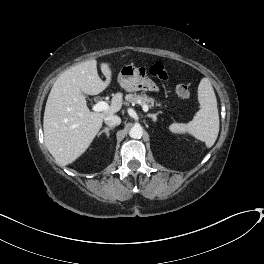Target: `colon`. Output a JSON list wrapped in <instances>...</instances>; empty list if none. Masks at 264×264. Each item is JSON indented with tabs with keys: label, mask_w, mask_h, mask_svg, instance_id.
I'll list each match as a JSON object with an SVG mask.
<instances>
[{
	"label": "colon",
	"mask_w": 264,
	"mask_h": 264,
	"mask_svg": "<svg viewBox=\"0 0 264 264\" xmlns=\"http://www.w3.org/2000/svg\"><path fill=\"white\" fill-rule=\"evenodd\" d=\"M150 73L152 76L161 80H166L168 78V70L166 66L160 61H157L152 65L150 68ZM175 92L180 98L184 100L188 99L191 95L189 85L184 83L177 84L175 87Z\"/></svg>",
	"instance_id": "colon-1"
}]
</instances>
